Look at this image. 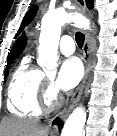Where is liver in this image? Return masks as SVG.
I'll use <instances>...</instances> for the list:
<instances>
[{
	"mask_svg": "<svg viewBox=\"0 0 117 136\" xmlns=\"http://www.w3.org/2000/svg\"><path fill=\"white\" fill-rule=\"evenodd\" d=\"M2 128L4 136H48V128L30 120L5 119Z\"/></svg>",
	"mask_w": 117,
	"mask_h": 136,
	"instance_id": "6515ba94",
	"label": "liver"
}]
</instances>
